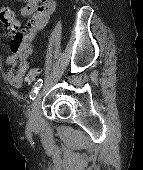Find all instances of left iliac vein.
<instances>
[{"mask_svg":"<svg viewBox=\"0 0 143 170\" xmlns=\"http://www.w3.org/2000/svg\"><path fill=\"white\" fill-rule=\"evenodd\" d=\"M42 100V90L35 96L32 102L31 110L29 113L28 125L30 127H37L40 123V106Z\"/></svg>","mask_w":143,"mask_h":170,"instance_id":"4c4485c4","label":"left iliac vein"}]
</instances>
